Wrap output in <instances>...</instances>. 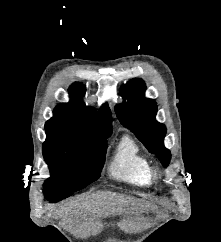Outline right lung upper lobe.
<instances>
[{
	"mask_svg": "<svg viewBox=\"0 0 221 242\" xmlns=\"http://www.w3.org/2000/svg\"><path fill=\"white\" fill-rule=\"evenodd\" d=\"M86 92L84 85L74 83L69 93L73 101L55 108L54 116L45 124L46 130H66L81 133L88 137L105 138L112 133L111 112L106 104L96 112L78 98Z\"/></svg>",
	"mask_w": 221,
	"mask_h": 242,
	"instance_id": "obj_1",
	"label": "right lung upper lobe"
}]
</instances>
